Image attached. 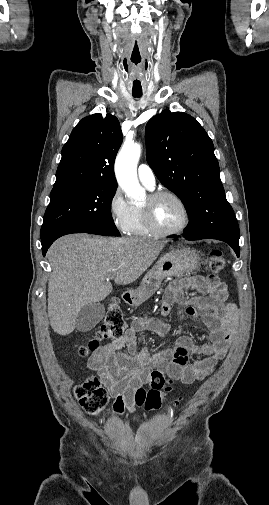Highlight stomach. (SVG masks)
<instances>
[{"mask_svg":"<svg viewBox=\"0 0 269 505\" xmlns=\"http://www.w3.org/2000/svg\"><path fill=\"white\" fill-rule=\"evenodd\" d=\"M199 260V256L190 250L177 249L163 255L143 278L131 301L132 305H139L156 292L162 280L192 273L198 268Z\"/></svg>","mask_w":269,"mask_h":505,"instance_id":"stomach-1","label":"stomach"}]
</instances>
